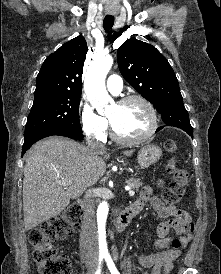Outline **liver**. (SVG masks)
Returning a JSON list of instances; mask_svg holds the SVG:
<instances>
[{
    "label": "liver",
    "mask_w": 221,
    "mask_h": 274,
    "mask_svg": "<svg viewBox=\"0 0 221 274\" xmlns=\"http://www.w3.org/2000/svg\"><path fill=\"white\" fill-rule=\"evenodd\" d=\"M133 151H125L130 156ZM104 158H103V157ZM106 149H92L73 140L49 137L26 153L23 179L25 229L59 215L106 172ZM71 181V184H65Z\"/></svg>",
    "instance_id": "obj_1"
}]
</instances>
